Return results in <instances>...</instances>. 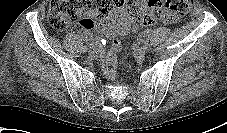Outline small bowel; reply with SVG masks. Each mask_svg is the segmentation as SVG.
<instances>
[{
    "mask_svg": "<svg viewBox=\"0 0 227 133\" xmlns=\"http://www.w3.org/2000/svg\"><path fill=\"white\" fill-rule=\"evenodd\" d=\"M141 5H144L143 0H137ZM131 0H124L121 5L115 8L114 12L102 20H99L95 27L104 32L107 36H125L131 30L132 25V15L129 10ZM176 21V18L166 15L163 17V22L165 24H171ZM81 36L84 40L91 42V45L96 47V42L93 41V35L90 30H83ZM97 48V47H96ZM98 58L102 59V52L99 51Z\"/></svg>",
    "mask_w": 227,
    "mask_h": 133,
    "instance_id": "c3829d8e",
    "label": "small bowel"
}]
</instances>
